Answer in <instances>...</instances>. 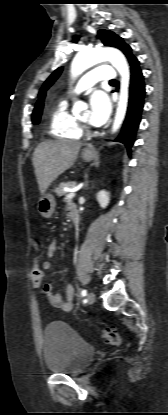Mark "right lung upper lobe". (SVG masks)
<instances>
[{
	"label": "right lung upper lobe",
	"instance_id": "right-lung-upper-lobe-1",
	"mask_svg": "<svg viewBox=\"0 0 168 415\" xmlns=\"http://www.w3.org/2000/svg\"><path fill=\"white\" fill-rule=\"evenodd\" d=\"M43 99H44V97L42 96V97L38 100V102H37V104H36V106H35V109H34V112H33V113H36V112H39V111H41V110H42V108H43Z\"/></svg>",
	"mask_w": 168,
	"mask_h": 415
}]
</instances>
